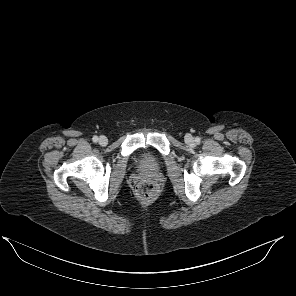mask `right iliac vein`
<instances>
[{
	"instance_id": "right-iliac-vein-1",
	"label": "right iliac vein",
	"mask_w": 296,
	"mask_h": 296,
	"mask_svg": "<svg viewBox=\"0 0 296 296\" xmlns=\"http://www.w3.org/2000/svg\"><path fill=\"white\" fill-rule=\"evenodd\" d=\"M107 143H108V139L105 136H101L99 138V144L100 145L105 146V145H107Z\"/></svg>"
}]
</instances>
